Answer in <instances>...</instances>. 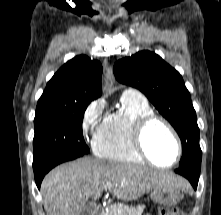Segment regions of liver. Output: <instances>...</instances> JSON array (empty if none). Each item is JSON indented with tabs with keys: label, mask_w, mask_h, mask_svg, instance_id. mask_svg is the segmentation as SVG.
<instances>
[{
	"label": "liver",
	"mask_w": 221,
	"mask_h": 215,
	"mask_svg": "<svg viewBox=\"0 0 221 215\" xmlns=\"http://www.w3.org/2000/svg\"><path fill=\"white\" fill-rule=\"evenodd\" d=\"M106 184L119 199L135 200L152 189L186 188L188 183L172 173L142 166L81 158L50 171L41 184L47 215H82L89 198L96 200Z\"/></svg>",
	"instance_id": "6515ba94"
}]
</instances>
